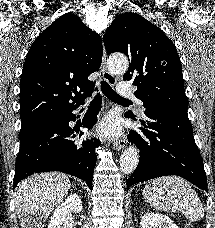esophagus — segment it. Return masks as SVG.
Instances as JSON below:
<instances>
[{"instance_id": "esophagus-1", "label": "esophagus", "mask_w": 215, "mask_h": 228, "mask_svg": "<svg viewBox=\"0 0 215 228\" xmlns=\"http://www.w3.org/2000/svg\"><path fill=\"white\" fill-rule=\"evenodd\" d=\"M106 59H107V55H106V50L104 48L103 45V56H102V64H101V69H102V75L104 80L111 86H115L117 83L116 78L114 77V75L112 73H110V71L107 70L106 67ZM126 137H123L117 141L114 142L113 148L117 151L121 150L122 148H124L125 144H126Z\"/></svg>"}]
</instances>
